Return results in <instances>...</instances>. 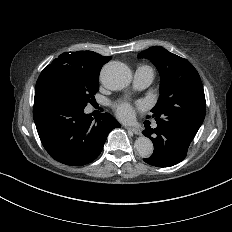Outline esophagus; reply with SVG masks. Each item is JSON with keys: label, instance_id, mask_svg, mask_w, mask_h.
Instances as JSON below:
<instances>
[{"label": "esophagus", "instance_id": "34e87169", "mask_svg": "<svg viewBox=\"0 0 232 232\" xmlns=\"http://www.w3.org/2000/svg\"><path fill=\"white\" fill-rule=\"evenodd\" d=\"M129 131L133 132L136 135H139L141 131L139 129L133 128V127H126Z\"/></svg>", "mask_w": 232, "mask_h": 232}]
</instances>
